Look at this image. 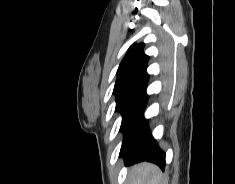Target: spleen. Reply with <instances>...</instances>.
I'll return each instance as SVG.
<instances>
[{"label":"spleen","mask_w":235,"mask_h":184,"mask_svg":"<svg viewBox=\"0 0 235 184\" xmlns=\"http://www.w3.org/2000/svg\"><path fill=\"white\" fill-rule=\"evenodd\" d=\"M133 176L134 184H167V178L160 172L158 166L143 162L133 168L128 178Z\"/></svg>","instance_id":"3e777b00"}]
</instances>
